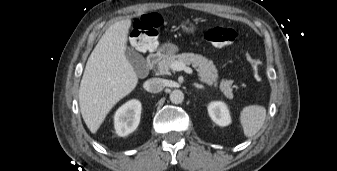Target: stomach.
Returning a JSON list of instances; mask_svg holds the SVG:
<instances>
[{
	"label": "stomach",
	"mask_w": 337,
	"mask_h": 171,
	"mask_svg": "<svg viewBox=\"0 0 337 171\" xmlns=\"http://www.w3.org/2000/svg\"><path fill=\"white\" fill-rule=\"evenodd\" d=\"M181 28L188 33H193L196 26L189 20H185L181 23ZM163 49L167 54H172L178 51V47L173 44H166L163 46Z\"/></svg>",
	"instance_id": "stomach-1"
}]
</instances>
